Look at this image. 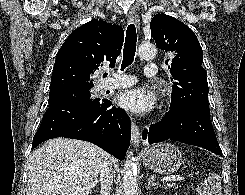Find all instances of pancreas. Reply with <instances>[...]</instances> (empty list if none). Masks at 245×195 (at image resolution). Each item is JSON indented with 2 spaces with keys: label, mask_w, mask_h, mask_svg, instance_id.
I'll return each mask as SVG.
<instances>
[{
  "label": "pancreas",
  "mask_w": 245,
  "mask_h": 195,
  "mask_svg": "<svg viewBox=\"0 0 245 195\" xmlns=\"http://www.w3.org/2000/svg\"><path fill=\"white\" fill-rule=\"evenodd\" d=\"M167 187H174V184H168Z\"/></svg>",
  "instance_id": "cf45deb5"
}]
</instances>
